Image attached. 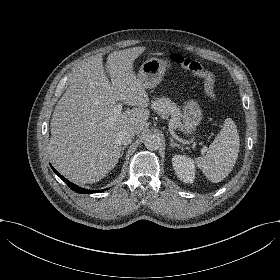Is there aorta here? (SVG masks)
Masks as SVG:
<instances>
[{
	"label": "aorta",
	"instance_id": "1",
	"mask_svg": "<svg viewBox=\"0 0 280 280\" xmlns=\"http://www.w3.org/2000/svg\"><path fill=\"white\" fill-rule=\"evenodd\" d=\"M144 145L150 150H157L162 145V139L157 134L149 133L144 136Z\"/></svg>",
	"mask_w": 280,
	"mask_h": 280
}]
</instances>
